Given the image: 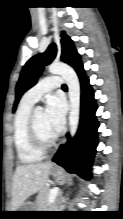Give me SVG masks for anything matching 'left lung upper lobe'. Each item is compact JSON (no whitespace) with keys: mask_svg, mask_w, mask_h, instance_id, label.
Masks as SVG:
<instances>
[{"mask_svg":"<svg viewBox=\"0 0 123 219\" xmlns=\"http://www.w3.org/2000/svg\"><path fill=\"white\" fill-rule=\"evenodd\" d=\"M61 45L62 54L61 60L68 63L73 68H76L80 63V55L77 53L73 41L69 36L63 31L61 34ZM57 53V48L54 43H52L48 49L41 54L33 56L23 67L20 78L16 86V98L14 102L13 110L16 109L17 104L21 96L31 87H33L45 65H48L55 58Z\"/></svg>","mask_w":123,"mask_h":219,"instance_id":"1","label":"left lung upper lobe"}]
</instances>
